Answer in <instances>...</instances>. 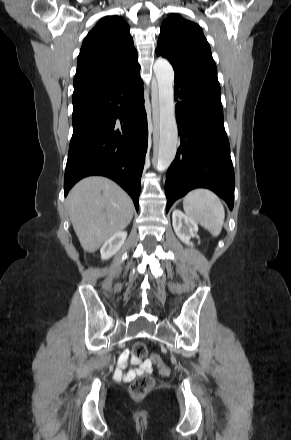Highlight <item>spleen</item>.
<instances>
[{"label":"spleen","mask_w":291,"mask_h":440,"mask_svg":"<svg viewBox=\"0 0 291 440\" xmlns=\"http://www.w3.org/2000/svg\"><path fill=\"white\" fill-rule=\"evenodd\" d=\"M186 214L217 237L222 230L225 211L218 196L208 189H194L183 199Z\"/></svg>","instance_id":"obj_1"}]
</instances>
